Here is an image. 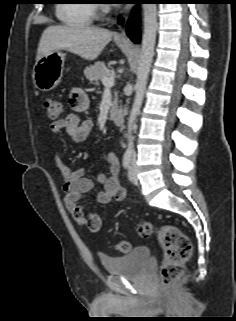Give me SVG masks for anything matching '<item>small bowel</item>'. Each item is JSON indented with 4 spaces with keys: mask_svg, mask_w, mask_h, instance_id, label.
<instances>
[{
    "mask_svg": "<svg viewBox=\"0 0 236 321\" xmlns=\"http://www.w3.org/2000/svg\"><path fill=\"white\" fill-rule=\"evenodd\" d=\"M69 103L72 112L53 121L50 125L51 130L56 134L65 132L74 142H83L89 137L93 128V122L82 116L88 108L89 97L84 91L75 89L69 95ZM55 159L63 179L62 189L66 209L78 224L85 225L92 232L98 231L106 218L92 212L87 213L79 201L83 194L92 190L97 184L103 186L97 194L99 203L124 200L126 192L121 186L118 175V155L115 152L106 154L107 172L99 174L95 179L85 177L82 168L71 169L59 153L56 154Z\"/></svg>",
    "mask_w": 236,
    "mask_h": 321,
    "instance_id": "1",
    "label": "small bowel"
}]
</instances>
